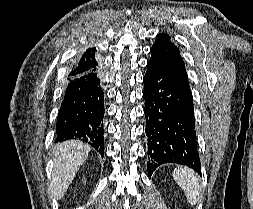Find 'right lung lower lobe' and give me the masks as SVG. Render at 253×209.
Returning <instances> with one entry per match:
<instances>
[{"label":"right lung lower lobe","mask_w":253,"mask_h":209,"mask_svg":"<svg viewBox=\"0 0 253 209\" xmlns=\"http://www.w3.org/2000/svg\"><path fill=\"white\" fill-rule=\"evenodd\" d=\"M104 92L99 73L69 78L56 123V140H81L104 156Z\"/></svg>","instance_id":"98d812e1"}]
</instances>
